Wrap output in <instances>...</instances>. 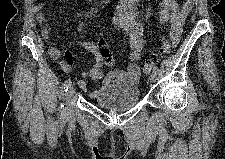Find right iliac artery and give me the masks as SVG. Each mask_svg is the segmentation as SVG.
<instances>
[{"label":"right iliac artery","instance_id":"1","mask_svg":"<svg viewBox=\"0 0 225 159\" xmlns=\"http://www.w3.org/2000/svg\"><path fill=\"white\" fill-rule=\"evenodd\" d=\"M72 85V81L70 79H68L65 84H64V90L67 92L68 88ZM59 111L61 113V116L64 113V105L61 104V106L59 107Z\"/></svg>","mask_w":225,"mask_h":159}]
</instances>
